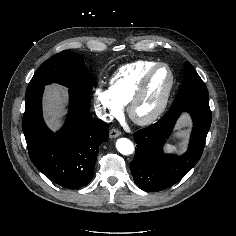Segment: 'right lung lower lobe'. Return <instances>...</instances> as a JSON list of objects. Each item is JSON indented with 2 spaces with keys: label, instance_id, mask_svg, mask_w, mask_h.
<instances>
[{
  "label": "right lung lower lobe",
  "instance_id": "1",
  "mask_svg": "<svg viewBox=\"0 0 236 236\" xmlns=\"http://www.w3.org/2000/svg\"><path fill=\"white\" fill-rule=\"evenodd\" d=\"M44 87L27 90L22 130L33 164L54 183L68 189L87 185L93 175L98 147L108 138V124L92 119L90 94L69 89L70 105L64 127L51 132L42 117Z\"/></svg>",
  "mask_w": 236,
  "mask_h": 236
}]
</instances>
